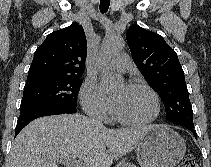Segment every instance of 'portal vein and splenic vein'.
<instances>
[{
  "mask_svg": "<svg viewBox=\"0 0 211 167\" xmlns=\"http://www.w3.org/2000/svg\"><path fill=\"white\" fill-rule=\"evenodd\" d=\"M60 163L66 165V167H84L83 162L81 160L66 161V162L60 161Z\"/></svg>",
  "mask_w": 211,
  "mask_h": 167,
  "instance_id": "portal-vein-and-splenic-vein-1",
  "label": "portal vein and splenic vein"
}]
</instances>
